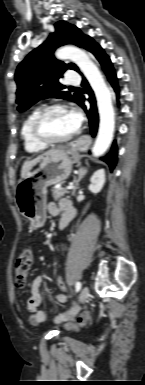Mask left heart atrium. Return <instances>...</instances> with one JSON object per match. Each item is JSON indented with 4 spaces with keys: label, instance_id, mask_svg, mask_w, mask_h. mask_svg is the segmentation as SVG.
I'll return each instance as SVG.
<instances>
[{
    "label": "left heart atrium",
    "instance_id": "obj_1",
    "mask_svg": "<svg viewBox=\"0 0 145 385\" xmlns=\"http://www.w3.org/2000/svg\"><path fill=\"white\" fill-rule=\"evenodd\" d=\"M71 116H72L75 124L79 127L81 122H82V116H81L80 112L72 111L71 112Z\"/></svg>",
    "mask_w": 145,
    "mask_h": 385
}]
</instances>
